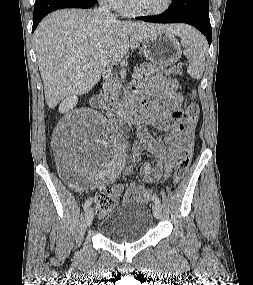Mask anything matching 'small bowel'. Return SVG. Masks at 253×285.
Listing matches in <instances>:
<instances>
[{
	"mask_svg": "<svg viewBox=\"0 0 253 285\" xmlns=\"http://www.w3.org/2000/svg\"><path fill=\"white\" fill-rule=\"evenodd\" d=\"M130 96L142 104L143 114L139 122L140 141L134 145L132 162L123 173L126 176L134 174L144 150L156 159V165H142L140 178L143 183L134 178L125 191L124 200L149 202L151 197L146 196L148 190L144 183H156L168 178L189 141L191 124L183 116V96L178 92L174 79L155 76L144 85L132 88ZM149 126L165 133V143L154 139ZM58 150L60 155H66V144L63 142ZM123 190L122 184H116L110 191L118 199Z\"/></svg>",
	"mask_w": 253,
	"mask_h": 285,
	"instance_id": "1",
	"label": "small bowel"
}]
</instances>
